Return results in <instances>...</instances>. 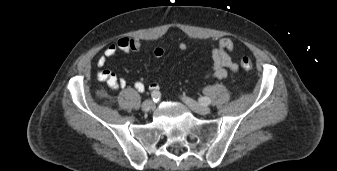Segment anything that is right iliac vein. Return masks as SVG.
<instances>
[{
  "mask_svg": "<svg viewBox=\"0 0 337 171\" xmlns=\"http://www.w3.org/2000/svg\"><path fill=\"white\" fill-rule=\"evenodd\" d=\"M155 108V103L152 100H146L142 104V110L144 112H148L150 110H153Z\"/></svg>",
  "mask_w": 337,
  "mask_h": 171,
  "instance_id": "63e3f726",
  "label": "right iliac vein"
}]
</instances>
